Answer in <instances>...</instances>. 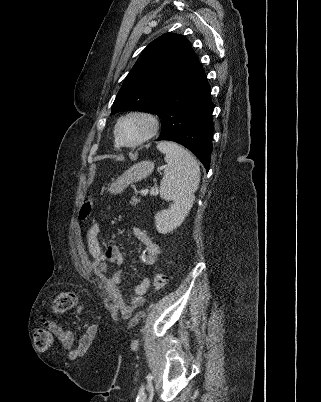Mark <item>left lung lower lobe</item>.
I'll use <instances>...</instances> for the list:
<instances>
[{
  "instance_id": "left-lung-lower-lobe-1",
  "label": "left lung lower lobe",
  "mask_w": 321,
  "mask_h": 402,
  "mask_svg": "<svg viewBox=\"0 0 321 402\" xmlns=\"http://www.w3.org/2000/svg\"><path fill=\"white\" fill-rule=\"evenodd\" d=\"M211 88L199 63L166 97L157 139L177 142L193 152L208 171L214 124Z\"/></svg>"
}]
</instances>
